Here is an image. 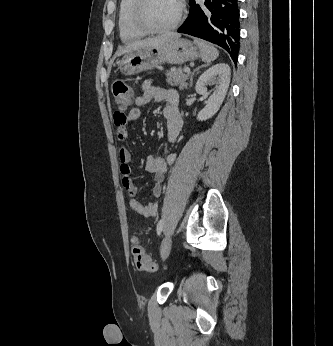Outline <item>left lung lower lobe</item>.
<instances>
[{"label": "left lung lower lobe", "mask_w": 333, "mask_h": 346, "mask_svg": "<svg viewBox=\"0 0 333 346\" xmlns=\"http://www.w3.org/2000/svg\"><path fill=\"white\" fill-rule=\"evenodd\" d=\"M190 1L189 17L178 29L224 48L236 62L239 51L240 23L237 0Z\"/></svg>", "instance_id": "0a47b994"}]
</instances>
